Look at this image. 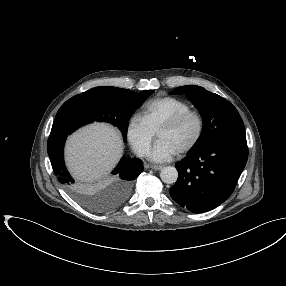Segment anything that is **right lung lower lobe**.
<instances>
[{
    "label": "right lung lower lobe",
    "mask_w": 286,
    "mask_h": 286,
    "mask_svg": "<svg viewBox=\"0 0 286 286\" xmlns=\"http://www.w3.org/2000/svg\"><path fill=\"white\" fill-rule=\"evenodd\" d=\"M70 131L60 128L57 124L53 123L50 137L47 143V151L51 161L53 171L58 181L71 193L81 194L83 187L78 185L72 176L68 173L63 159V148L67 135ZM143 171V163L137 158L122 157L117 167L113 170L112 174L115 175V182L113 189L116 195L112 201L106 202L107 209L112 208L116 203L119 205L123 201L117 202L118 190L123 187V196L127 195L132 181ZM125 201V200H124Z\"/></svg>",
    "instance_id": "right-lung-lower-lobe-1"
}]
</instances>
